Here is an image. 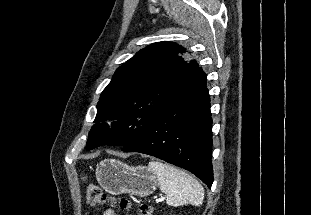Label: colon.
Instances as JSON below:
<instances>
[{
	"instance_id": "obj_1",
	"label": "colon",
	"mask_w": 311,
	"mask_h": 215,
	"mask_svg": "<svg viewBox=\"0 0 311 215\" xmlns=\"http://www.w3.org/2000/svg\"><path fill=\"white\" fill-rule=\"evenodd\" d=\"M86 200L90 206L99 207L106 204H117L122 210H128L130 208V202L127 199L116 200L113 197L108 196L100 187L93 183L86 185ZM140 215H150L151 208L146 204L139 206Z\"/></svg>"
}]
</instances>
